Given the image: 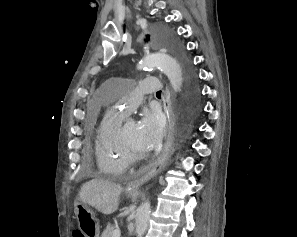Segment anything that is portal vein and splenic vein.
<instances>
[{"label": "portal vein and splenic vein", "instance_id": "18ae733b", "mask_svg": "<svg viewBox=\"0 0 297 237\" xmlns=\"http://www.w3.org/2000/svg\"><path fill=\"white\" fill-rule=\"evenodd\" d=\"M121 236V232L119 229H116L113 231L112 237H120Z\"/></svg>", "mask_w": 297, "mask_h": 237}]
</instances>
